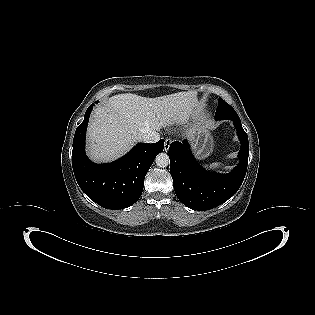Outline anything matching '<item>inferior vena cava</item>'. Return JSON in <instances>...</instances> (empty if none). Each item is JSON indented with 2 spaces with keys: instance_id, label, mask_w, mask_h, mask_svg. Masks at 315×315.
I'll list each match as a JSON object with an SVG mask.
<instances>
[{
  "instance_id": "inferior-vena-cava-1",
  "label": "inferior vena cava",
  "mask_w": 315,
  "mask_h": 315,
  "mask_svg": "<svg viewBox=\"0 0 315 315\" xmlns=\"http://www.w3.org/2000/svg\"><path fill=\"white\" fill-rule=\"evenodd\" d=\"M160 139V136L157 132L155 131H152V132H149L147 134H144L142 137H141V141L142 142H145V143H155L157 142L158 140Z\"/></svg>"
}]
</instances>
